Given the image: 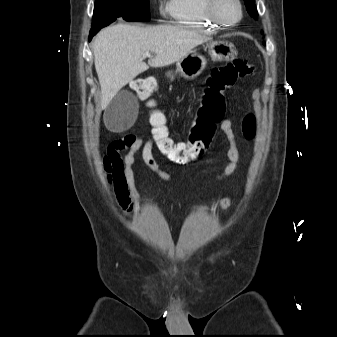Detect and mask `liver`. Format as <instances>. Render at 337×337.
Listing matches in <instances>:
<instances>
[{"mask_svg": "<svg viewBox=\"0 0 337 337\" xmlns=\"http://www.w3.org/2000/svg\"><path fill=\"white\" fill-rule=\"evenodd\" d=\"M208 40L196 31L171 25L140 27L118 23L103 29L93 44L101 107L107 108L122 87L149 67L171 65ZM147 52L155 53L148 64L142 61Z\"/></svg>", "mask_w": 337, "mask_h": 337, "instance_id": "6515ba94", "label": "liver"}]
</instances>
